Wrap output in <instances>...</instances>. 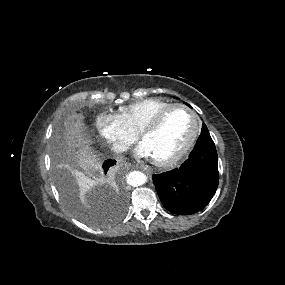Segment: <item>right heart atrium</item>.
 Wrapping results in <instances>:
<instances>
[{
    "mask_svg": "<svg viewBox=\"0 0 285 285\" xmlns=\"http://www.w3.org/2000/svg\"><path fill=\"white\" fill-rule=\"evenodd\" d=\"M98 134L117 151H125L136 139L119 115L101 114L95 121Z\"/></svg>",
    "mask_w": 285,
    "mask_h": 285,
    "instance_id": "obj_1",
    "label": "right heart atrium"
}]
</instances>
